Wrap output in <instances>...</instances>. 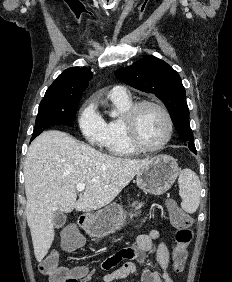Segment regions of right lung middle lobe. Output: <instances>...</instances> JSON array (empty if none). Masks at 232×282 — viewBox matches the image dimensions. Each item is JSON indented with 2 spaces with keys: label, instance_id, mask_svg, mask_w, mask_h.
Instances as JSON below:
<instances>
[{
  "label": "right lung middle lobe",
  "instance_id": "right-lung-middle-lobe-1",
  "mask_svg": "<svg viewBox=\"0 0 232 282\" xmlns=\"http://www.w3.org/2000/svg\"><path fill=\"white\" fill-rule=\"evenodd\" d=\"M81 96L82 95L57 98L44 97L39 105L38 115L31 140H33L50 126H73V120L76 116V109Z\"/></svg>",
  "mask_w": 232,
  "mask_h": 282
}]
</instances>
